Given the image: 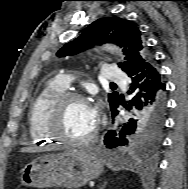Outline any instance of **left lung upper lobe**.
I'll list each match as a JSON object with an SVG mask.
<instances>
[{"mask_svg":"<svg viewBox=\"0 0 188 189\" xmlns=\"http://www.w3.org/2000/svg\"><path fill=\"white\" fill-rule=\"evenodd\" d=\"M107 42H116L120 47H124L123 52L126 55V61L118 63V66L124 72L145 61L152 60L138 27L128 20L118 17L102 18L94 21L77 39L65 44L57 52V56L74 55L94 45ZM108 101L110 107H114L119 101L118 93H110ZM162 127V124L154 128L142 129L138 127L129 137L128 146L145 145L151 150L156 149L160 142Z\"/></svg>","mask_w":188,"mask_h":189,"instance_id":"1","label":"left lung upper lobe"}]
</instances>
